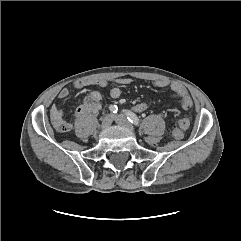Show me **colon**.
Wrapping results in <instances>:
<instances>
[{"mask_svg": "<svg viewBox=\"0 0 241 241\" xmlns=\"http://www.w3.org/2000/svg\"><path fill=\"white\" fill-rule=\"evenodd\" d=\"M133 111L136 113H144L149 109V104L145 102H139L133 105ZM59 117H56L54 125L59 126ZM191 125V119L184 117L181 118L178 123L176 129L173 131V135L176 139H181L183 137L184 130L188 129Z\"/></svg>", "mask_w": 241, "mask_h": 241, "instance_id": "obj_1", "label": "colon"}]
</instances>
